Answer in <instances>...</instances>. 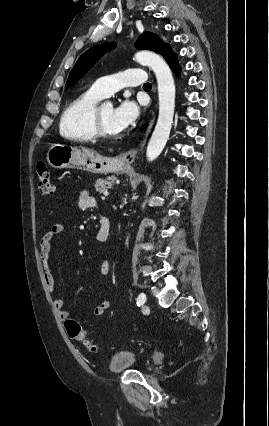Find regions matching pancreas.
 I'll return each instance as SVG.
<instances>
[{"label":"pancreas","mask_w":269,"mask_h":426,"mask_svg":"<svg viewBox=\"0 0 269 426\" xmlns=\"http://www.w3.org/2000/svg\"><path fill=\"white\" fill-rule=\"evenodd\" d=\"M116 180V177L99 178L95 181L96 191L103 193L104 191L111 188Z\"/></svg>","instance_id":"1"}]
</instances>
